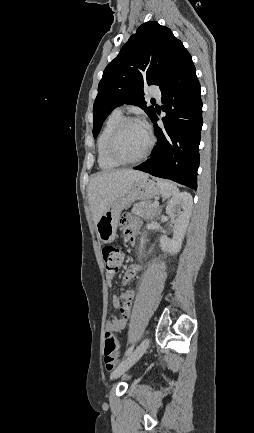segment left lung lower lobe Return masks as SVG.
I'll return each mask as SVG.
<instances>
[{
    "mask_svg": "<svg viewBox=\"0 0 254 433\" xmlns=\"http://www.w3.org/2000/svg\"><path fill=\"white\" fill-rule=\"evenodd\" d=\"M164 127L154 124L157 144L150 159L137 167L156 177L173 180L191 189L197 188L200 133L203 124L200 84L191 55L186 52L170 77L160 88Z\"/></svg>",
    "mask_w": 254,
    "mask_h": 433,
    "instance_id": "1",
    "label": "left lung lower lobe"
}]
</instances>
